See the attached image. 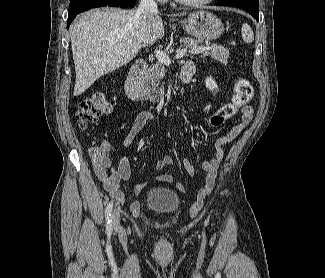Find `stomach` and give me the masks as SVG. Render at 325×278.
<instances>
[{"instance_id": "obj_1", "label": "stomach", "mask_w": 325, "mask_h": 278, "mask_svg": "<svg viewBox=\"0 0 325 278\" xmlns=\"http://www.w3.org/2000/svg\"><path fill=\"white\" fill-rule=\"evenodd\" d=\"M180 23L187 33L199 40H215L224 30L221 20L204 10L189 14Z\"/></svg>"}]
</instances>
